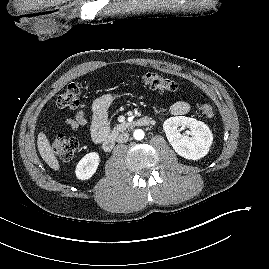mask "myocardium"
<instances>
[{
	"label": "myocardium",
	"instance_id": "1",
	"mask_svg": "<svg viewBox=\"0 0 269 269\" xmlns=\"http://www.w3.org/2000/svg\"><path fill=\"white\" fill-rule=\"evenodd\" d=\"M59 2L60 0H40L36 2V5L40 7H46V6L56 5Z\"/></svg>",
	"mask_w": 269,
	"mask_h": 269
}]
</instances>
